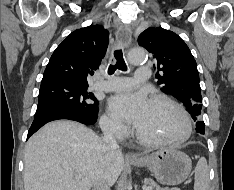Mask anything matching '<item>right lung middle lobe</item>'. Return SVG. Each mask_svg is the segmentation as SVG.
I'll use <instances>...</instances> for the list:
<instances>
[{"mask_svg": "<svg viewBox=\"0 0 234 190\" xmlns=\"http://www.w3.org/2000/svg\"><path fill=\"white\" fill-rule=\"evenodd\" d=\"M87 87V85H74L60 81L41 84L39 103L34 117L56 108L95 115L98 112V102L92 93H87Z\"/></svg>", "mask_w": 234, "mask_h": 190, "instance_id": "right-lung-middle-lobe-1", "label": "right lung middle lobe"}]
</instances>
